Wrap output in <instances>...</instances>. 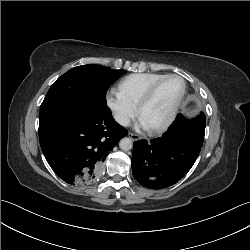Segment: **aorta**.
I'll return each mask as SVG.
<instances>
[{"label":"aorta","instance_id":"762f6f07","mask_svg":"<svg viewBox=\"0 0 250 250\" xmlns=\"http://www.w3.org/2000/svg\"><path fill=\"white\" fill-rule=\"evenodd\" d=\"M132 146H133L132 140L127 137L122 138L119 142V147L124 151L130 150Z\"/></svg>","mask_w":250,"mask_h":250}]
</instances>
